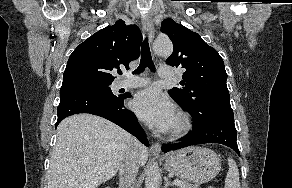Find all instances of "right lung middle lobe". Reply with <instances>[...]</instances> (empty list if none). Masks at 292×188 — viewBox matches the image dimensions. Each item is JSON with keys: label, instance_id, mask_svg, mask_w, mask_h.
I'll list each match as a JSON object with an SVG mask.
<instances>
[{"label": "right lung middle lobe", "instance_id": "obj_1", "mask_svg": "<svg viewBox=\"0 0 292 188\" xmlns=\"http://www.w3.org/2000/svg\"><path fill=\"white\" fill-rule=\"evenodd\" d=\"M112 81L110 80H102V79H94V78H76V79H70V80H63L62 87L67 86H81L93 91H96L98 93H101L102 95L114 98L115 96L111 91L110 85Z\"/></svg>", "mask_w": 292, "mask_h": 188}]
</instances>
